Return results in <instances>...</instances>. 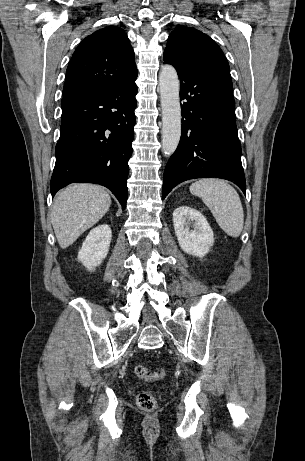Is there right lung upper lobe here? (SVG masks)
Returning <instances> with one entry per match:
<instances>
[{
    "mask_svg": "<svg viewBox=\"0 0 305 461\" xmlns=\"http://www.w3.org/2000/svg\"><path fill=\"white\" fill-rule=\"evenodd\" d=\"M136 77L135 55L127 35L119 27H106L87 36L73 53L63 98L107 90Z\"/></svg>",
    "mask_w": 305,
    "mask_h": 461,
    "instance_id": "1",
    "label": "right lung upper lobe"
}]
</instances>
